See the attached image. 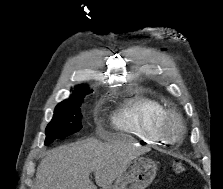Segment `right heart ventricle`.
Here are the masks:
<instances>
[{
	"label": "right heart ventricle",
	"instance_id": "1",
	"mask_svg": "<svg viewBox=\"0 0 223 189\" xmlns=\"http://www.w3.org/2000/svg\"><path fill=\"white\" fill-rule=\"evenodd\" d=\"M167 111L157 99L135 96L125 99L114 111L111 122L117 131L128 133L149 145L164 144L159 122Z\"/></svg>",
	"mask_w": 223,
	"mask_h": 189
}]
</instances>
